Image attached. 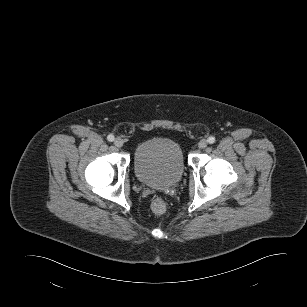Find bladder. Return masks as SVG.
Returning a JSON list of instances; mask_svg holds the SVG:
<instances>
[{"label":"bladder","instance_id":"31cf9c89","mask_svg":"<svg viewBox=\"0 0 307 307\" xmlns=\"http://www.w3.org/2000/svg\"><path fill=\"white\" fill-rule=\"evenodd\" d=\"M185 167L181 145L170 138L147 140L139 144L134 151V173L146 186L171 187L181 180Z\"/></svg>","mask_w":307,"mask_h":307}]
</instances>
